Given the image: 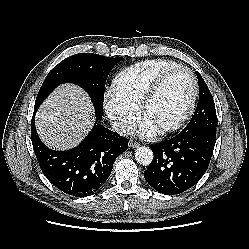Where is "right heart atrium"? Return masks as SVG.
Masks as SVG:
<instances>
[{
  "instance_id": "obj_1",
  "label": "right heart atrium",
  "mask_w": 249,
  "mask_h": 249,
  "mask_svg": "<svg viewBox=\"0 0 249 249\" xmlns=\"http://www.w3.org/2000/svg\"><path fill=\"white\" fill-rule=\"evenodd\" d=\"M103 109L113 128L120 134L130 132L138 118L137 110L122 102L112 92L106 93Z\"/></svg>"
}]
</instances>
